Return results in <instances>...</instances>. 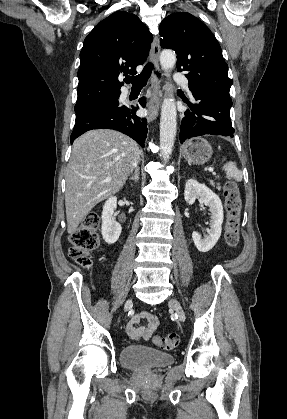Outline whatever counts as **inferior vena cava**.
Returning <instances> with one entry per match:
<instances>
[{
  "label": "inferior vena cava",
  "instance_id": "1",
  "mask_svg": "<svg viewBox=\"0 0 287 419\" xmlns=\"http://www.w3.org/2000/svg\"><path fill=\"white\" fill-rule=\"evenodd\" d=\"M135 166L137 165V161L135 162V164H134Z\"/></svg>",
  "mask_w": 287,
  "mask_h": 419
}]
</instances>
